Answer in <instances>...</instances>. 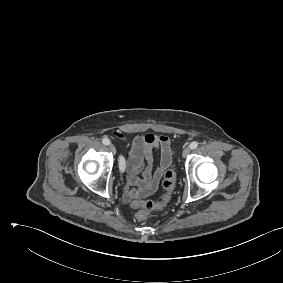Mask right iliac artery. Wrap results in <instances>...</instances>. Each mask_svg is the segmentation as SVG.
Instances as JSON below:
<instances>
[{
  "instance_id": "82829eb1",
  "label": "right iliac artery",
  "mask_w": 283,
  "mask_h": 283,
  "mask_svg": "<svg viewBox=\"0 0 283 283\" xmlns=\"http://www.w3.org/2000/svg\"><path fill=\"white\" fill-rule=\"evenodd\" d=\"M102 143L104 145H109L110 144V140L108 138H104L102 140ZM119 168H120L121 171L125 170V159L122 156L119 157Z\"/></svg>"
}]
</instances>
